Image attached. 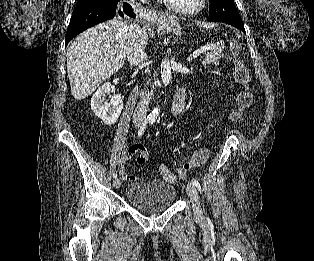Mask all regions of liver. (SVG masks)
I'll return each mask as SVG.
<instances>
[{
	"label": "liver",
	"mask_w": 314,
	"mask_h": 261,
	"mask_svg": "<svg viewBox=\"0 0 314 261\" xmlns=\"http://www.w3.org/2000/svg\"><path fill=\"white\" fill-rule=\"evenodd\" d=\"M127 25L113 19L81 33L69 46L67 73L76 100L92 94L97 87L124 65ZM144 31V45L148 41Z\"/></svg>",
	"instance_id": "obj_1"
}]
</instances>
